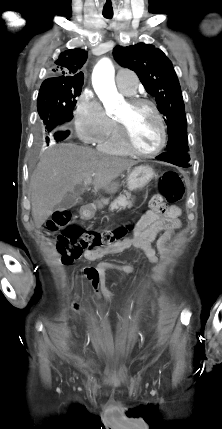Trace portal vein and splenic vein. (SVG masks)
<instances>
[{
    "label": "portal vein and splenic vein",
    "mask_w": 222,
    "mask_h": 429,
    "mask_svg": "<svg viewBox=\"0 0 222 429\" xmlns=\"http://www.w3.org/2000/svg\"><path fill=\"white\" fill-rule=\"evenodd\" d=\"M90 182H91V180H86V181L84 182V184H85V185H88Z\"/></svg>",
    "instance_id": "portal-vein-and-splenic-vein-1"
}]
</instances>
